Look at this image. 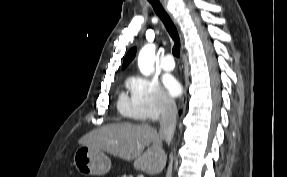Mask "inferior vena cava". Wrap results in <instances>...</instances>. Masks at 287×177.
Segmentation results:
<instances>
[{"mask_svg": "<svg viewBox=\"0 0 287 177\" xmlns=\"http://www.w3.org/2000/svg\"><path fill=\"white\" fill-rule=\"evenodd\" d=\"M177 107L174 100L165 98L160 117V136L170 144L176 128ZM166 158V156H165Z\"/></svg>", "mask_w": 287, "mask_h": 177, "instance_id": "inferior-vena-cava-1", "label": "inferior vena cava"}]
</instances>
